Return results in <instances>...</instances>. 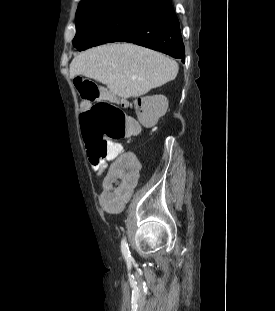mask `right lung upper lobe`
<instances>
[{
	"mask_svg": "<svg viewBox=\"0 0 275 311\" xmlns=\"http://www.w3.org/2000/svg\"><path fill=\"white\" fill-rule=\"evenodd\" d=\"M82 1H85V0H82ZM151 1H157V2L162 3L163 5L168 4V3H169V2H168V0H151Z\"/></svg>",
	"mask_w": 275,
	"mask_h": 311,
	"instance_id": "1",
	"label": "right lung upper lobe"
}]
</instances>
